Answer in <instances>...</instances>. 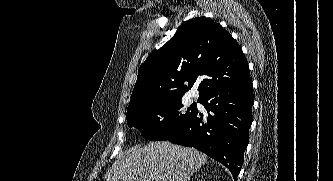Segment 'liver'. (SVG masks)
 <instances>
[{
    "instance_id": "6515ba94",
    "label": "liver",
    "mask_w": 333,
    "mask_h": 181,
    "mask_svg": "<svg viewBox=\"0 0 333 181\" xmlns=\"http://www.w3.org/2000/svg\"><path fill=\"white\" fill-rule=\"evenodd\" d=\"M207 162V156L193 148L170 142L134 146L113 163L106 181H190Z\"/></svg>"
}]
</instances>
